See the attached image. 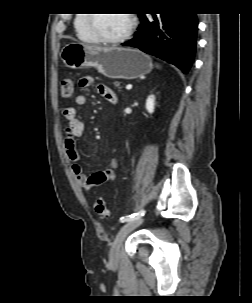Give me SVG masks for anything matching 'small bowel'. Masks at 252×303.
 I'll use <instances>...</instances> for the list:
<instances>
[{
    "label": "small bowel",
    "mask_w": 252,
    "mask_h": 303,
    "mask_svg": "<svg viewBox=\"0 0 252 303\" xmlns=\"http://www.w3.org/2000/svg\"><path fill=\"white\" fill-rule=\"evenodd\" d=\"M94 82V78L90 75L81 77L79 85L82 88L91 86ZM98 93L104 97L109 103L116 104L117 97L115 93L105 84L99 83L96 85ZM87 102V97L84 94H78L74 98V103L77 106H83ZM65 126H64V142L66 152L69 158L73 161L78 160L79 152L77 148V138L82 136L85 132V124L78 117L74 107H66L64 109ZM120 163L119 158L114 157L111 159L110 167L98 171L92 175H87L82 167L78 164H74L72 167L73 173L78 183L86 190L99 186L104 183L113 182L116 178V169Z\"/></svg>",
    "instance_id": "obj_1"
}]
</instances>
